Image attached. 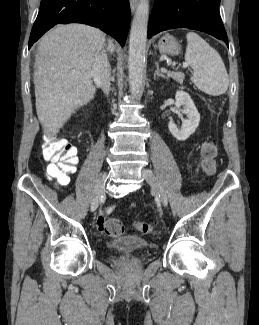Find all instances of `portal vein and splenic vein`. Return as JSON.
<instances>
[{"label": "portal vein and splenic vein", "instance_id": "portal-vein-and-splenic-vein-1", "mask_svg": "<svg viewBox=\"0 0 259 325\" xmlns=\"http://www.w3.org/2000/svg\"><path fill=\"white\" fill-rule=\"evenodd\" d=\"M187 67H188V64L184 63L183 68H187Z\"/></svg>", "mask_w": 259, "mask_h": 325}]
</instances>
